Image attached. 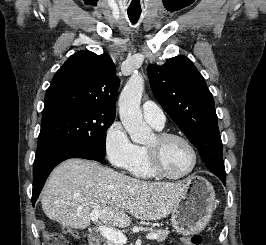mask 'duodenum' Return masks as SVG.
<instances>
[{
    "mask_svg": "<svg viewBox=\"0 0 266 245\" xmlns=\"http://www.w3.org/2000/svg\"><path fill=\"white\" fill-rule=\"evenodd\" d=\"M89 245H101V242L97 234L92 233L90 235Z\"/></svg>",
    "mask_w": 266,
    "mask_h": 245,
    "instance_id": "duodenum-1",
    "label": "duodenum"
}]
</instances>
